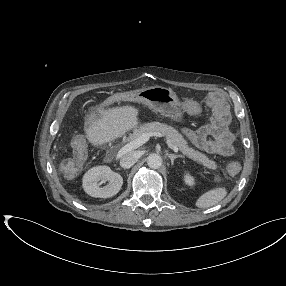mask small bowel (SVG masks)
I'll use <instances>...</instances> for the list:
<instances>
[{
  "mask_svg": "<svg viewBox=\"0 0 286 286\" xmlns=\"http://www.w3.org/2000/svg\"><path fill=\"white\" fill-rule=\"evenodd\" d=\"M210 106L213 111L212 122L196 130L183 129V134L199 149L210 154L224 157L234 153V135L229 131L230 115L228 106L220 93H213L210 98ZM184 112L197 115L201 112V105L194 100H186L182 103Z\"/></svg>",
  "mask_w": 286,
  "mask_h": 286,
  "instance_id": "obj_1",
  "label": "small bowel"
}]
</instances>
